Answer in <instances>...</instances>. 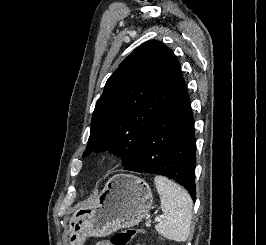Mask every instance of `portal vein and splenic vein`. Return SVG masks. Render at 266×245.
<instances>
[{
	"label": "portal vein and splenic vein",
	"instance_id": "portal-vein-and-splenic-vein-1",
	"mask_svg": "<svg viewBox=\"0 0 266 245\" xmlns=\"http://www.w3.org/2000/svg\"><path fill=\"white\" fill-rule=\"evenodd\" d=\"M161 219H163V215L161 217H155V221H161Z\"/></svg>",
	"mask_w": 266,
	"mask_h": 245
}]
</instances>
